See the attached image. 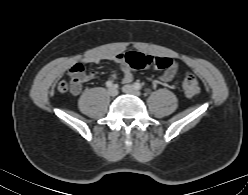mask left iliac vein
<instances>
[{"label":"left iliac vein","instance_id":"1","mask_svg":"<svg viewBox=\"0 0 248 195\" xmlns=\"http://www.w3.org/2000/svg\"><path fill=\"white\" fill-rule=\"evenodd\" d=\"M122 90H123L124 93L132 94V95L137 96V97H139L141 95L140 91L135 89L132 85H125L122 88Z\"/></svg>","mask_w":248,"mask_h":195}]
</instances>
